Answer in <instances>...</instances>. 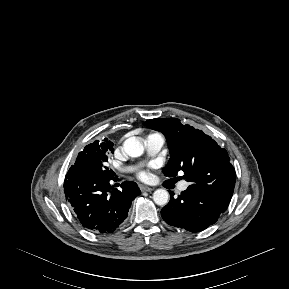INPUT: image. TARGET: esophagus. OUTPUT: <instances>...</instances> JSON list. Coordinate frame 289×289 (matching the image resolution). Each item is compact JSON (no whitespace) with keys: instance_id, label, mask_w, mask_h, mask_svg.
<instances>
[{"instance_id":"34e87169","label":"esophagus","mask_w":289,"mask_h":289,"mask_svg":"<svg viewBox=\"0 0 289 289\" xmlns=\"http://www.w3.org/2000/svg\"><path fill=\"white\" fill-rule=\"evenodd\" d=\"M140 189L142 191H146V192H150V191L154 190L152 187H148V186H145V185H141Z\"/></svg>"}]
</instances>
